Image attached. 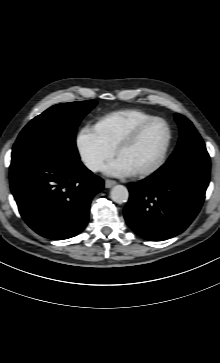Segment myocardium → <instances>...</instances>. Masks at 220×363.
I'll return each mask as SVG.
<instances>
[{"label":"myocardium","instance_id":"1","mask_svg":"<svg viewBox=\"0 0 220 363\" xmlns=\"http://www.w3.org/2000/svg\"><path fill=\"white\" fill-rule=\"evenodd\" d=\"M162 123L166 127L167 130V139L164 145V148L158 158V160L151 165L150 167L137 170L133 172V175L136 177H145L149 176L155 172H157L165 163L168 153L171 148L172 140H173V132L170 124L161 117H152L137 126H135L132 130H130L126 135H124L115 145L114 147V154L117 156L121 150L131 145L139 136L140 134L150 125L154 123Z\"/></svg>","mask_w":220,"mask_h":363}]
</instances>
